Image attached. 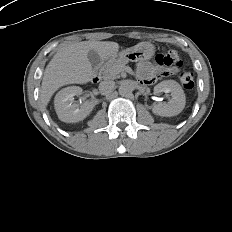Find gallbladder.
Returning <instances> with one entry per match:
<instances>
[{"mask_svg": "<svg viewBox=\"0 0 232 232\" xmlns=\"http://www.w3.org/2000/svg\"><path fill=\"white\" fill-rule=\"evenodd\" d=\"M87 57H88V60L90 61V63H91L92 66L97 67V66L100 65V63H101V57H100V55L96 51L90 50L88 52Z\"/></svg>", "mask_w": 232, "mask_h": 232, "instance_id": "obj_1", "label": "gallbladder"}]
</instances>
